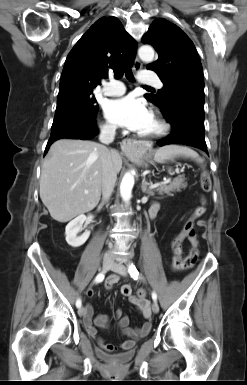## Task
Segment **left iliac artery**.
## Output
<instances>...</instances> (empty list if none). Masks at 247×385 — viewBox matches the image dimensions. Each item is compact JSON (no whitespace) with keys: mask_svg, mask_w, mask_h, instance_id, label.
Returning a JSON list of instances; mask_svg holds the SVG:
<instances>
[{"mask_svg":"<svg viewBox=\"0 0 247 385\" xmlns=\"http://www.w3.org/2000/svg\"><path fill=\"white\" fill-rule=\"evenodd\" d=\"M128 272L134 280H137L138 278H140L139 272L133 263H129ZM152 299L154 301H157V294L155 291L152 292Z\"/></svg>","mask_w":247,"mask_h":385,"instance_id":"1","label":"left iliac artery"}]
</instances>
